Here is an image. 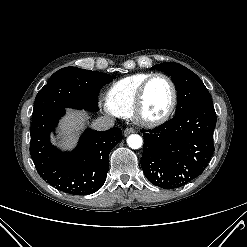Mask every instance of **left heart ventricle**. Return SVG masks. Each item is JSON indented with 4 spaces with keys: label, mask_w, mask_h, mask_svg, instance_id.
I'll list each match as a JSON object with an SVG mask.
<instances>
[{
    "label": "left heart ventricle",
    "mask_w": 247,
    "mask_h": 247,
    "mask_svg": "<svg viewBox=\"0 0 247 247\" xmlns=\"http://www.w3.org/2000/svg\"><path fill=\"white\" fill-rule=\"evenodd\" d=\"M172 90L169 82L161 77L153 79L145 94L143 116L155 119L162 116L170 107Z\"/></svg>",
    "instance_id": "left-heart-ventricle-1"
}]
</instances>
